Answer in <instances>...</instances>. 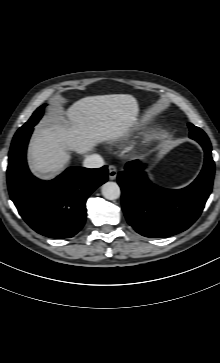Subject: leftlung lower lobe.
Masks as SVG:
<instances>
[{
    "instance_id": "0a47b994",
    "label": "left lung lower lobe",
    "mask_w": 220,
    "mask_h": 363,
    "mask_svg": "<svg viewBox=\"0 0 220 363\" xmlns=\"http://www.w3.org/2000/svg\"><path fill=\"white\" fill-rule=\"evenodd\" d=\"M192 139L203 147L205 161L197 179L186 188L167 190L151 184L138 161L128 162L119 172L123 211L128 223L141 235H175L189 228L201 214L212 190L215 166L209 139Z\"/></svg>"
}]
</instances>
